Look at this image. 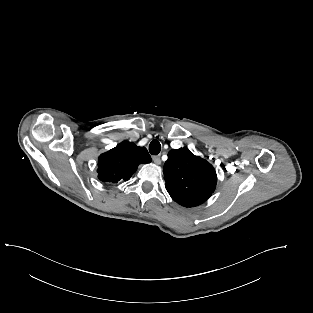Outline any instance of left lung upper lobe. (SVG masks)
I'll list each match as a JSON object with an SVG mask.
<instances>
[{"instance_id": "1", "label": "left lung upper lobe", "mask_w": 313, "mask_h": 313, "mask_svg": "<svg viewBox=\"0 0 313 313\" xmlns=\"http://www.w3.org/2000/svg\"><path fill=\"white\" fill-rule=\"evenodd\" d=\"M163 173L169 195L185 207L202 204L216 188L217 175L213 166L187 148L169 151Z\"/></svg>"}]
</instances>
